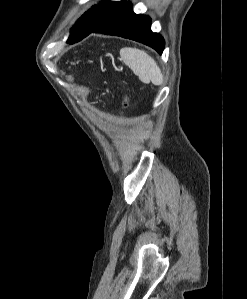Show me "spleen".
Segmentation results:
<instances>
[{"mask_svg": "<svg viewBox=\"0 0 247 299\" xmlns=\"http://www.w3.org/2000/svg\"><path fill=\"white\" fill-rule=\"evenodd\" d=\"M121 60L134 72L143 83L152 82L161 85L163 75L155 60L145 51L124 47L120 50Z\"/></svg>", "mask_w": 247, "mask_h": 299, "instance_id": "spleen-1", "label": "spleen"}]
</instances>
